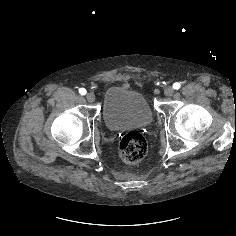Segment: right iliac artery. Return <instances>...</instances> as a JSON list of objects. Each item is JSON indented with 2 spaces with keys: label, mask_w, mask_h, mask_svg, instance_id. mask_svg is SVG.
<instances>
[{
  "label": "right iliac artery",
  "mask_w": 236,
  "mask_h": 236,
  "mask_svg": "<svg viewBox=\"0 0 236 236\" xmlns=\"http://www.w3.org/2000/svg\"><path fill=\"white\" fill-rule=\"evenodd\" d=\"M86 89H84V88H80L79 89V93L81 94V95H85L86 94Z\"/></svg>",
  "instance_id": "82829eb1"
}]
</instances>
